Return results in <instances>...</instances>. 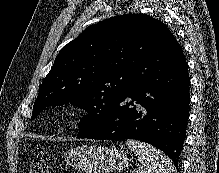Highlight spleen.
Returning a JSON list of instances; mask_svg holds the SVG:
<instances>
[{"label":"spleen","instance_id":"3e777b00","mask_svg":"<svg viewBox=\"0 0 219 173\" xmlns=\"http://www.w3.org/2000/svg\"><path fill=\"white\" fill-rule=\"evenodd\" d=\"M128 148L135 154L140 162L136 173H172L174 165L171 160L160 150L149 144L128 139Z\"/></svg>","mask_w":219,"mask_h":173}]
</instances>
